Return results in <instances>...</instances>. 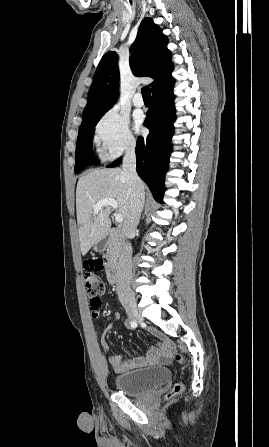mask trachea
Segmentation results:
<instances>
[{
	"label": "trachea",
	"instance_id": "3493384b",
	"mask_svg": "<svg viewBox=\"0 0 269 447\" xmlns=\"http://www.w3.org/2000/svg\"><path fill=\"white\" fill-rule=\"evenodd\" d=\"M141 93L144 100H151V91L149 87H143Z\"/></svg>",
	"mask_w": 269,
	"mask_h": 447
}]
</instances>
